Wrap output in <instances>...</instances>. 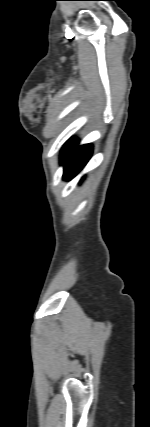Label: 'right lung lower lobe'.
Here are the masks:
<instances>
[{
  "mask_svg": "<svg viewBox=\"0 0 150 427\" xmlns=\"http://www.w3.org/2000/svg\"><path fill=\"white\" fill-rule=\"evenodd\" d=\"M91 154V144L78 147L76 141H68L61 155V164L64 165L63 178L70 180L78 174L91 157Z\"/></svg>",
  "mask_w": 150,
  "mask_h": 427,
  "instance_id": "1",
  "label": "right lung lower lobe"
}]
</instances>
